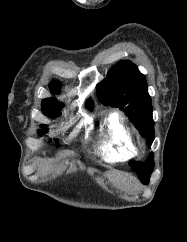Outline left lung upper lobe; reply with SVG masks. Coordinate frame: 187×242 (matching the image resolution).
Masks as SVG:
<instances>
[{
    "instance_id": "5c2ea615",
    "label": "left lung upper lobe",
    "mask_w": 187,
    "mask_h": 242,
    "mask_svg": "<svg viewBox=\"0 0 187 242\" xmlns=\"http://www.w3.org/2000/svg\"><path fill=\"white\" fill-rule=\"evenodd\" d=\"M147 87L146 78L137 66L124 60L113 66L107 78L99 83L97 95L103 104L123 110L140 134L147 138L150 147L154 140V121ZM129 165L140 180L149 179L154 168L153 155H149L143 162L130 161Z\"/></svg>"
}]
</instances>
